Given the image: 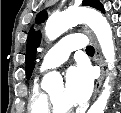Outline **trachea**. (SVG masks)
Returning <instances> with one entry per match:
<instances>
[{
  "label": "trachea",
  "mask_w": 121,
  "mask_h": 113,
  "mask_svg": "<svg viewBox=\"0 0 121 113\" xmlns=\"http://www.w3.org/2000/svg\"><path fill=\"white\" fill-rule=\"evenodd\" d=\"M86 53H94V48H93V46H87V48H86Z\"/></svg>",
  "instance_id": "1"
}]
</instances>
